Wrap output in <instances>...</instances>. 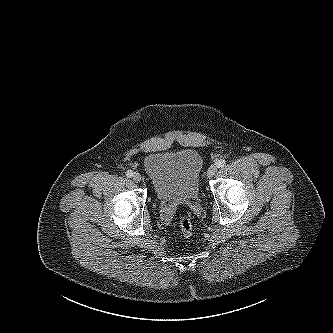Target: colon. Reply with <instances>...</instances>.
<instances>
[{
	"label": "colon",
	"instance_id": "5ec220e1",
	"mask_svg": "<svg viewBox=\"0 0 333 333\" xmlns=\"http://www.w3.org/2000/svg\"><path fill=\"white\" fill-rule=\"evenodd\" d=\"M178 227L185 236H189L193 232V223L189 217H182L179 220Z\"/></svg>",
	"mask_w": 333,
	"mask_h": 333
}]
</instances>
